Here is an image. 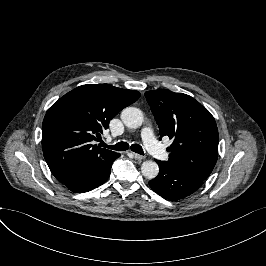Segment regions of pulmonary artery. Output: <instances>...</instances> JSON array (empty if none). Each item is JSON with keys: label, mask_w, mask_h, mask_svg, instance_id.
<instances>
[{"label": "pulmonary artery", "mask_w": 266, "mask_h": 266, "mask_svg": "<svg viewBox=\"0 0 266 266\" xmlns=\"http://www.w3.org/2000/svg\"><path fill=\"white\" fill-rule=\"evenodd\" d=\"M141 138L143 141H145V146L147 149H149L150 153L158 156V158L161 160L166 159L168 152L167 150L162 149L160 146H158V139L153 135L152 127H145L142 131Z\"/></svg>", "instance_id": "pulmonary-artery-1"}]
</instances>
